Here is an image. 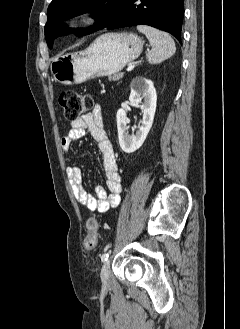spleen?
I'll list each match as a JSON object with an SVG mask.
<instances>
[{
	"mask_svg": "<svg viewBox=\"0 0 240 329\" xmlns=\"http://www.w3.org/2000/svg\"><path fill=\"white\" fill-rule=\"evenodd\" d=\"M137 30L147 37L152 46L147 53L149 63H160L175 53V42L168 33L146 25H138Z\"/></svg>",
	"mask_w": 240,
	"mask_h": 329,
	"instance_id": "spleen-1",
	"label": "spleen"
}]
</instances>
